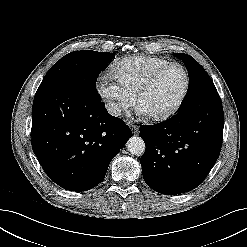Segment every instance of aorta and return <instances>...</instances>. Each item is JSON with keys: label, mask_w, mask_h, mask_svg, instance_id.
Here are the masks:
<instances>
[{"label": "aorta", "mask_w": 247, "mask_h": 247, "mask_svg": "<svg viewBox=\"0 0 247 247\" xmlns=\"http://www.w3.org/2000/svg\"><path fill=\"white\" fill-rule=\"evenodd\" d=\"M126 146H127L128 151L131 154L137 155V156L142 155L146 148L144 140L139 136L131 137L127 141Z\"/></svg>", "instance_id": "762f6f07"}]
</instances>
